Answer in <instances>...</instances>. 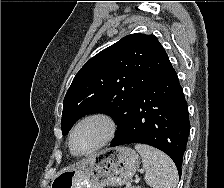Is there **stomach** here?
<instances>
[{
    "label": "stomach",
    "instance_id": "obj_1",
    "mask_svg": "<svg viewBox=\"0 0 224 188\" xmlns=\"http://www.w3.org/2000/svg\"><path fill=\"white\" fill-rule=\"evenodd\" d=\"M139 163V155L129 147L107 148L59 172L50 188L121 186L133 177Z\"/></svg>",
    "mask_w": 224,
    "mask_h": 188
}]
</instances>
